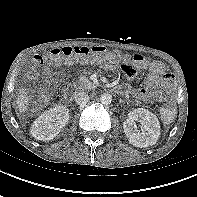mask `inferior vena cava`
<instances>
[{
  "mask_svg": "<svg viewBox=\"0 0 197 197\" xmlns=\"http://www.w3.org/2000/svg\"><path fill=\"white\" fill-rule=\"evenodd\" d=\"M89 95L86 92H77L75 94V101L78 105H84L88 102Z\"/></svg>",
  "mask_w": 197,
  "mask_h": 197,
  "instance_id": "inferior-vena-cava-1",
  "label": "inferior vena cava"
}]
</instances>
